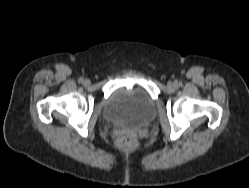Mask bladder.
<instances>
[{"label": "bladder", "mask_w": 249, "mask_h": 188, "mask_svg": "<svg viewBox=\"0 0 249 188\" xmlns=\"http://www.w3.org/2000/svg\"><path fill=\"white\" fill-rule=\"evenodd\" d=\"M104 115L113 122L140 125L155 115V103L141 88H119L108 100Z\"/></svg>", "instance_id": "bladder-1"}]
</instances>
